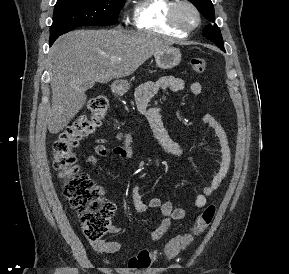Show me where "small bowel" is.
I'll return each mask as SVG.
<instances>
[{
  "mask_svg": "<svg viewBox=\"0 0 289 274\" xmlns=\"http://www.w3.org/2000/svg\"><path fill=\"white\" fill-rule=\"evenodd\" d=\"M185 86L184 80L173 76H165L156 81L144 83L137 91L136 106L141 115H144L151 128L158 139L161 147L170 155L181 158L186 155L187 149L184 145L175 141L167 132L161 116L159 107H149V102L161 90H168L171 92L181 91ZM192 94L196 96L203 95V86L200 82H194L190 86ZM202 122L207 127L211 128L215 137L218 140L220 160L218 162V169L213 175L208 184L202 187L201 192L194 198L193 205L196 208H202L207 204V198L215 190L219 188L225 176L227 175L231 165V150L227 133L212 114H205L202 117ZM117 140H123L121 146L107 147L104 139H98L97 145L94 147V152L97 156L107 157L109 155H117L123 159L131 157L130 143L132 135L130 132H119L116 135ZM96 155H89L86 162L93 167L98 166V158ZM131 200L134 208L139 212H144L149 208L158 209L163 217L160 225L150 234L151 241L160 240L171 226L172 221L181 220L186 216L184 208H174L172 203L158 197H151L143 201L140 196V187L135 186L132 189ZM121 231L118 227H112V233H119ZM95 251L104 257L106 263H109L108 255L118 253L122 249V244L115 240H100L94 244Z\"/></svg>",
  "mask_w": 289,
  "mask_h": 274,
  "instance_id": "small-bowel-1",
  "label": "small bowel"
}]
</instances>
